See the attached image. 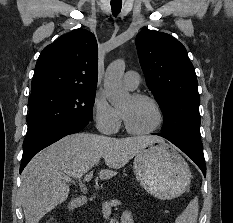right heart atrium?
<instances>
[{
  "instance_id": "obj_1",
  "label": "right heart atrium",
  "mask_w": 233,
  "mask_h": 223,
  "mask_svg": "<svg viewBox=\"0 0 233 223\" xmlns=\"http://www.w3.org/2000/svg\"><path fill=\"white\" fill-rule=\"evenodd\" d=\"M93 118L96 128L104 134H115L121 127L119 111L111 106L105 96L97 93L92 103Z\"/></svg>"
}]
</instances>
